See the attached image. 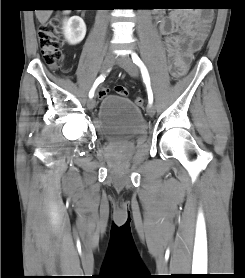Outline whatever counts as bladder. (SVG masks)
Returning <instances> with one entry per match:
<instances>
[{
  "instance_id": "1",
  "label": "bladder",
  "mask_w": 245,
  "mask_h": 278,
  "mask_svg": "<svg viewBox=\"0 0 245 278\" xmlns=\"http://www.w3.org/2000/svg\"><path fill=\"white\" fill-rule=\"evenodd\" d=\"M95 124L106 142L141 138L146 130L141 109L130 99L113 94L101 100Z\"/></svg>"
}]
</instances>
